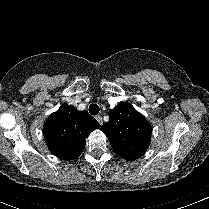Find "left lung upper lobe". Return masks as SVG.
<instances>
[{
    "instance_id": "1",
    "label": "left lung upper lobe",
    "mask_w": 209,
    "mask_h": 209,
    "mask_svg": "<svg viewBox=\"0 0 209 209\" xmlns=\"http://www.w3.org/2000/svg\"><path fill=\"white\" fill-rule=\"evenodd\" d=\"M109 121L101 126L113 150L122 158L132 161L147 150L152 129L144 116L123 102L109 111Z\"/></svg>"
}]
</instances>
